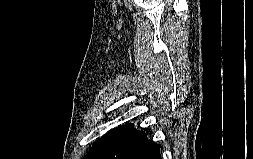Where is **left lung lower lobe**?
<instances>
[{"label":"left lung lower lobe","instance_id":"obj_1","mask_svg":"<svg viewBox=\"0 0 253 159\" xmlns=\"http://www.w3.org/2000/svg\"><path fill=\"white\" fill-rule=\"evenodd\" d=\"M85 159H161L160 145L126 124L110 130L91 148Z\"/></svg>","mask_w":253,"mask_h":159}]
</instances>
